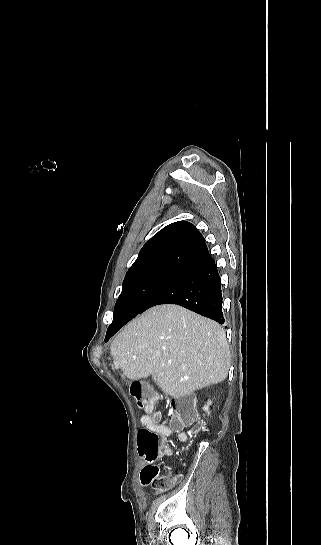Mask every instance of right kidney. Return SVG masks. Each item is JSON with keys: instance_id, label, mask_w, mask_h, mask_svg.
<instances>
[{"instance_id": "obj_1", "label": "right kidney", "mask_w": 321, "mask_h": 545, "mask_svg": "<svg viewBox=\"0 0 321 545\" xmlns=\"http://www.w3.org/2000/svg\"><path fill=\"white\" fill-rule=\"evenodd\" d=\"M204 411H208V407H203Z\"/></svg>"}]
</instances>
